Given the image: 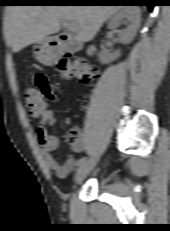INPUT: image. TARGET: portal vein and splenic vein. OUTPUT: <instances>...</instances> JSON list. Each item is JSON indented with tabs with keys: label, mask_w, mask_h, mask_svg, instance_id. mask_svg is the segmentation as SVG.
I'll return each mask as SVG.
<instances>
[{
	"label": "portal vein and splenic vein",
	"mask_w": 170,
	"mask_h": 231,
	"mask_svg": "<svg viewBox=\"0 0 170 231\" xmlns=\"http://www.w3.org/2000/svg\"><path fill=\"white\" fill-rule=\"evenodd\" d=\"M64 26H65V28H67L70 31H75V29L71 23L65 22Z\"/></svg>",
	"instance_id": "1"
}]
</instances>
